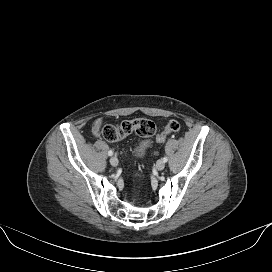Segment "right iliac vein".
Segmentation results:
<instances>
[{"label": "right iliac vein", "instance_id": "right-iliac-vein-1", "mask_svg": "<svg viewBox=\"0 0 272 272\" xmlns=\"http://www.w3.org/2000/svg\"><path fill=\"white\" fill-rule=\"evenodd\" d=\"M118 163H119V161H118V158H117V157L113 156V157L110 158V164H111L112 166L115 167V166L118 165Z\"/></svg>", "mask_w": 272, "mask_h": 272}]
</instances>
